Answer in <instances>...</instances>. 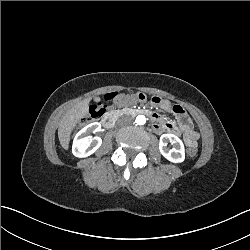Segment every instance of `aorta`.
I'll use <instances>...</instances> for the list:
<instances>
[{"label": "aorta", "instance_id": "1", "mask_svg": "<svg viewBox=\"0 0 250 250\" xmlns=\"http://www.w3.org/2000/svg\"><path fill=\"white\" fill-rule=\"evenodd\" d=\"M135 122L138 124V125H144L146 123V117L144 115H138L136 117V120Z\"/></svg>", "mask_w": 250, "mask_h": 250}]
</instances>
